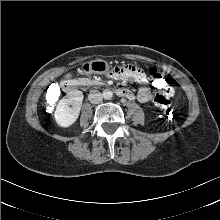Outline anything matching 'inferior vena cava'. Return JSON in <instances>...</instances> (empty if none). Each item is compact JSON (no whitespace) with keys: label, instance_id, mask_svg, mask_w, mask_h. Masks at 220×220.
<instances>
[{"label":"inferior vena cava","instance_id":"inferior-vena-cava-1","mask_svg":"<svg viewBox=\"0 0 220 220\" xmlns=\"http://www.w3.org/2000/svg\"><path fill=\"white\" fill-rule=\"evenodd\" d=\"M88 99L91 103L98 104L102 101L103 97L98 90H92L88 95Z\"/></svg>","mask_w":220,"mask_h":220}]
</instances>
